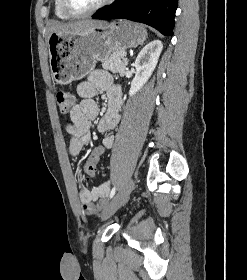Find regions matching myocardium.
<instances>
[{
	"instance_id": "f54148a6",
	"label": "myocardium",
	"mask_w": 247,
	"mask_h": 280,
	"mask_svg": "<svg viewBox=\"0 0 247 280\" xmlns=\"http://www.w3.org/2000/svg\"><path fill=\"white\" fill-rule=\"evenodd\" d=\"M114 0H102L100 3L95 5L94 7L87 9V10H76L71 6L70 0H62V8L64 12L69 15L70 17H83V16H88L91 15L110 3H112Z\"/></svg>"
}]
</instances>
